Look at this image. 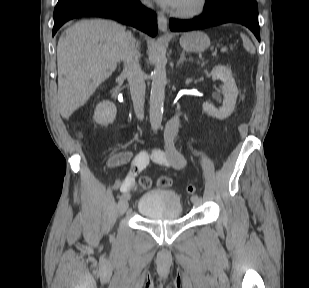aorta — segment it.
<instances>
[{
	"label": "aorta",
	"instance_id": "obj_1",
	"mask_svg": "<svg viewBox=\"0 0 309 288\" xmlns=\"http://www.w3.org/2000/svg\"><path fill=\"white\" fill-rule=\"evenodd\" d=\"M154 64L155 67L153 71L150 93L149 119L152 130L156 132L162 122L165 99V86L167 83L166 59L160 51L155 56Z\"/></svg>",
	"mask_w": 309,
	"mask_h": 288
}]
</instances>
